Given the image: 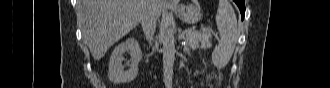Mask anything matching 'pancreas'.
I'll list each match as a JSON object with an SVG mask.
<instances>
[{"mask_svg":"<svg viewBox=\"0 0 330 88\" xmlns=\"http://www.w3.org/2000/svg\"><path fill=\"white\" fill-rule=\"evenodd\" d=\"M184 34V40L192 50L208 49L212 46L210 33L186 29Z\"/></svg>","mask_w":330,"mask_h":88,"instance_id":"cf45deb5","label":"pancreas"}]
</instances>
